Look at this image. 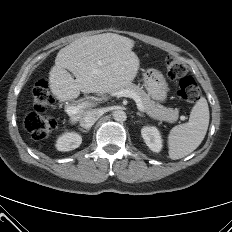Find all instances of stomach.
Masks as SVG:
<instances>
[{
    "instance_id": "obj_1",
    "label": "stomach",
    "mask_w": 232,
    "mask_h": 232,
    "mask_svg": "<svg viewBox=\"0 0 232 232\" xmlns=\"http://www.w3.org/2000/svg\"><path fill=\"white\" fill-rule=\"evenodd\" d=\"M145 87L148 94L155 100L164 101L167 96V83L159 72H153L144 77Z\"/></svg>"
}]
</instances>
